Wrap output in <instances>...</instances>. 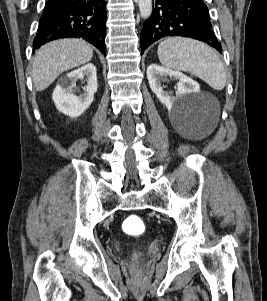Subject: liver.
Returning a JSON list of instances; mask_svg holds the SVG:
<instances>
[{
    "label": "liver",
    "instance_id": "1",
    "mask_svg": "<svg viewBox=\"0 0 267 301\" xmlns=\"http://www.w3.org/2000/svg\"><path fill=\"white\" fill-rule=\"evenodd\" d=\"M91 46L81 39H61L42 46L35 54L32 79L36 91L49 87L63 72L89 62Z\"/></svg>",
    "mask_w": 267,
    "mask_h": 301
}]
</instances>
